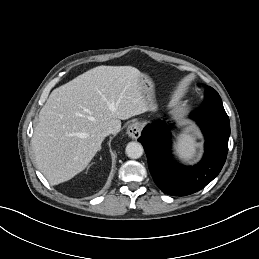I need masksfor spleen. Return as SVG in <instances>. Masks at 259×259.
I'll list each match as a JSON object with an SVG mask.
<instances>
[{"instance_id":"3e777b00","label":"spleen","mask_w":259,"mask_h":259,"mask_svg":"<svg viewBox=\"0 0 259 259\" xmlns=\"http://www.w3.org/2000/svg\"><path fill=\"white\" fill-rule=\"evenodd\" d=\"M196 140V135L189 128L182 130L178 134L174 149L180 160L189 162L195 158L198 148V142Z\"/></svg>"}]
</instances>
